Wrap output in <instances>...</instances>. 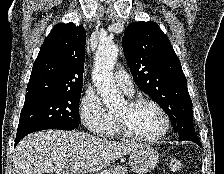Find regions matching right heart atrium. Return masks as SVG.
<instances>
[{
    "instance_id": "right-heart-atrium-1",
    "label": "right heart atrium",
    "mask_w": 224,
    "mask_h": 174,
    "mask_svg": "<svg viewBox=\"0 0 224 174\" xmlns=\"http://www.w3.org/2000/svg\"><path fill=\"white\" fill-rule=\"evenodd\" d=\"M79 110L81 119L90 132L98 136H106L110 133L114 119L95 92L87 91L84 94Z\"/></svg>"
}]
</instances>
